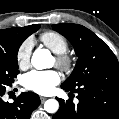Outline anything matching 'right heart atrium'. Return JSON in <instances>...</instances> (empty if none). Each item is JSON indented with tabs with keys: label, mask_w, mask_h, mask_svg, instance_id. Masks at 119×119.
Wrapping results in <instances>:
<instances>
[{
	"label": "right heart atrium",
	"mask_w": 119,
	"mask_h": 119,
	"mask_svg": "<svg viewBox=\"0 0 119 119\" xmlns=\"http://www.w3.org/2000/svg\"><path fill=\"white\" fill-rule=\"evenodd\" d=\"M33 42L31 39H26L18 48L16 59L20 68H26L30 63L31 51Z\"/></svg>",
	"instance_id": "d8ad5b80"
}]
</instances>
